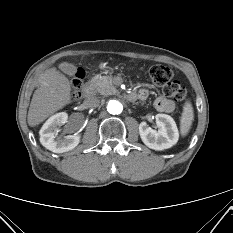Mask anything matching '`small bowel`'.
Instances as JSON below:
<instances>
[{"label":"small bowel","mask_w":233,"mask_h":233,"mask_svg":"<svg viewBox=\"0 0 233 233\" xmlns=\"http://www.w3.org/2000/svg\"><path fill=\"white\" fill-rule=\"evenodd\" d=\"M138 96L141 100H145L148 97V91L143 89ZM154 106L158 111L164 113H171L175 109V103L165 96H158L154 101Z\"/></svg>","instance_id":"c3829d8e"}]
</instances>
